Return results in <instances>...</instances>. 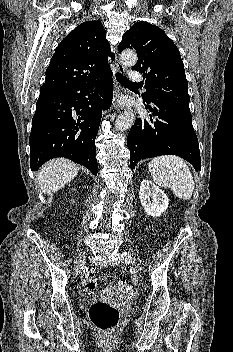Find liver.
I'll use <instances>...</instances> for the list:
<instances>
[{
    "mask_svg": "<svg viewBox=\"0 0 233 352\" xmlns=\"http://www.w3.org/2000/svg\"><path fill=\"white\" fill-rule=\"evenodd\" d=\"M79 167L67 159H54L41 167L37 180L44 194L54 193L71 182L78 174Z\"/></svg>",
    "mask_w": 233,
    "mask_h": 352,
    "instance_id": "obj_1",
    "label": "liver"
}]
</instances>
